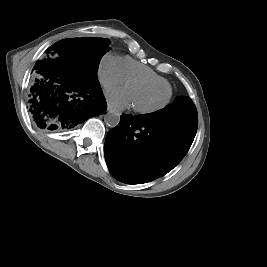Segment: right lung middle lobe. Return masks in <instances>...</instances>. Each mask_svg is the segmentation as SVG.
<instances>
[{
    "instance_id": "obj_1",
    "label": "right lung middle lobe",
    "mask_w": 267,
    "mask_h": 267,
    "mask_svg": "<svg viewBox=\"0 0 267 267\" xmlns=\"http://www.w3.org/2000/svg\"><path fill=\"white\" fill-rule=\"evenodd\" d=\"M109 44L107 38H69L56 42L49 51L67 55L84 76L97 79L100 60L110 50Z\"/></svg>"
}]
</instances>
